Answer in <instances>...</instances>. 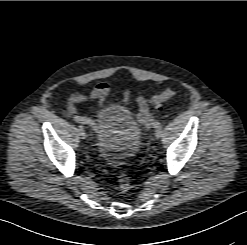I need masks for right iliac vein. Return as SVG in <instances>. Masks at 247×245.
<instances>
[{"instance_id":"1","label":"right iliac vein","mask_w":247,"mask_h":245,"mask_svg":"<svg viewBox=\"0 0 247 245\" xmlns=\"http://www.w3.org/2000/svg\"><path fill=\"white\" fill-rule=\"evenodd\" d=\"M78 132H79V135L82 139H85L86 138V132L84 130V128L82 126H79L78 127Z\"/></svg>"}]
</instances>
